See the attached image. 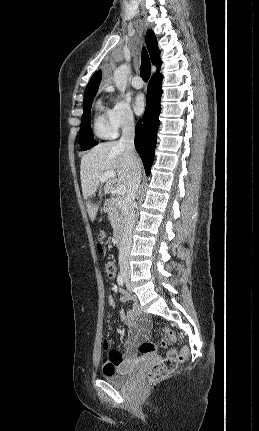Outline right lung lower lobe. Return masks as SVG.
I'll use <instances>...</instances> for the list:
<instances>
[{"label": "right lung lower lobe", "instance_id": "obj_1", "mask_svg": "<svg viewBox=\"0 0 259 431\" xmlns=\"http://www.w3.org/2000/svg\"><path fill=\"white\" fill-rule=\"evenodd\" d=\"M163 76L157 71L154 74L147 88V103L145 113L137 122L135 130V148L139 153L146 175L149 176L154 159V149L156 145V134L160 124L159 114L161 110L160 98L162 94Z\"/></svg>", "mask_w": 259, "mask_h": 431}]
</instances>
